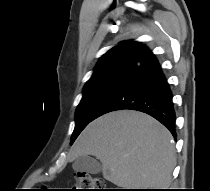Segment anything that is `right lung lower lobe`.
I'll return each mask as SVG.
<instances>
[{"label": "right lung lower lobe", "mask_w": 210, "mask_h": 191, "mask_svg": "<svg viewBox=\"0 0 210 191\" xmlns=\"http://www.w3.org/2000/svg\"><path fill=\"white\" fill-rule=\"evenodd\" d=\"M122 109L149 114L176 138L170 86L155 55L144 45L130 58L118 81L99 105L95 118Z\"/></svg>", "instance_id": "1"}]
</instances>
